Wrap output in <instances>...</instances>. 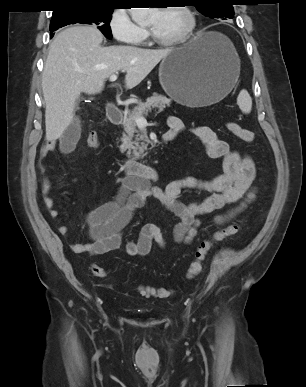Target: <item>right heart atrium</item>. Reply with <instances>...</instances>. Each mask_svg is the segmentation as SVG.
Instances as JSON below:
<instances>
[{"mask_svg":"<svg viewBox=\"0 0 306 387\" xmlns=\"http://www.w3.org/2000/svg\"><path fill=\"white\" fill-rule=\"evenodd\" d=\"M109 30L113 38L122 44L138 45L147 37L145 28L138 25L128 9H114L109 18Z\"/></svg>","mask_w":306,"mask_h":387,"instance_id":"right-heart-atrium-1","label":"right heart atrium"}]
</instances>
